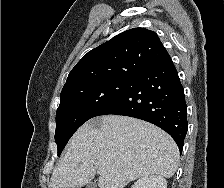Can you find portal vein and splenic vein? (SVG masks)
<instances>
[{
    "label": "portal vein and splenic vein",
    "instance_id": "portal-vein-and-splenic-vein-1",
    "mask_svg": "<svg viewBox=\"0 0 224 188\" xmlns=\"http://www.w3.org/2000/svg\"><path fill=\"white\" fill-rule=\"evenodd\" d=\"M104 173H105V171H104L103 169H99V170H98V174H99V175H103Z\"/></svg>",
    "mask_w": 224,
    "mask_h": 188
}]
</instances>
